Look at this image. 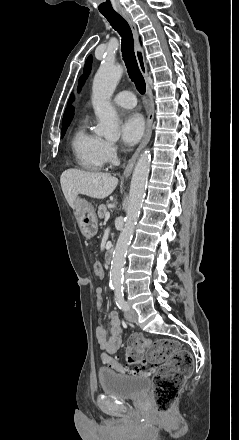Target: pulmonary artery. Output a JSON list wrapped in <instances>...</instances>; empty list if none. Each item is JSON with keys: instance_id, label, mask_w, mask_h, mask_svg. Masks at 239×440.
<instances>
[{"instance_id": "obj_1", "label": "pulmonary artery", "mask_w": 239, "mask_h": 440, "mask_svg": "<svg viewBox=\"0 0 239 440\" xmlns=\"http://www.w3.org/2000/svg\"><path fill=\"white\" fill-rule=\"evenodd\" d=\"M113 102L124 108H133L136 105V97L130 91H123L114 97Z\"/></svg>"}]
</instances>
